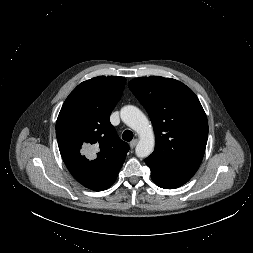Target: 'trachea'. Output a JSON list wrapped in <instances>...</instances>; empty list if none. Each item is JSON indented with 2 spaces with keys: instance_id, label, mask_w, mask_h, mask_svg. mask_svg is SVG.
<instances>
[{
  "instance_id": "trachea-1",
  "label": "trachea",
  "mask_w": 253,
  "mask_h": 253,
  "mask_svg": "<svg viewBox=\"0 0 253 253\" xmlns=\"http://www.w3.org/2000/svg\"><path fill=\"white\" fill-rule=\"evenodd\" d=\"M123 140L131 141L133 139V133L130 130H125L122 135Z\"/></svg>"
}]
</instances>
